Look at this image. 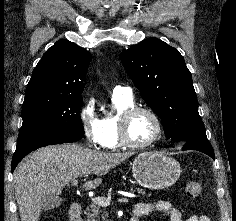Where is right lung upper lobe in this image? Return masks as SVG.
I'll list each match as a JSON object with an SVG mask.
<instances>
[{"label": "right lung upper lobe", "instance_id": "1", "mask_svg": "<svg viewBox=\"0 0 236 221\" xmlns=\"http://www.w3.org/2000/svg\"><path fill=\"white\" fill-rule=\"evenodd\" d=\"M91 54L66 39L50 47L33 70L26 94L81 95Z\"/></svg>", "mask_w": 236, "mask_h": 221}]
</instances>
